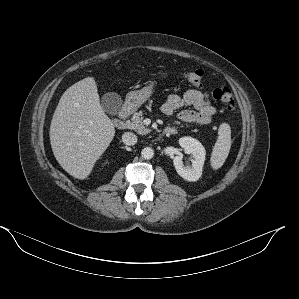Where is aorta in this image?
<instances>
[{"label":"aorta","mask_w":299,"mask_h":299,"mask_svg":"<svg viewBox=\"0 0 299 299\" xmlns=\"http://www.w3.org/2000/svg\"><path fill=\"white\" fill-rule=\"evenodd\" d=\"M154 156V150L150 147H145L141 151V157L145 160H149L153 158Z\"/></svg>","instance_id":"762f6f07"}]
</instances>
